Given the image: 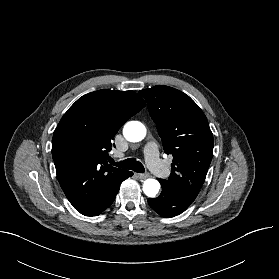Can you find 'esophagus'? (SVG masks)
Wrapping results in <instances>:
<instances>
[{
  "label": "esophagus",
  "instance_id": "34e87169",
  "mask_svg": "<svg viewBox=\"0 0 279 279\" xmlns=\"http://www.w3.org/2000/svg\"><path fill=\"white\" fill-rule=\"evenodd\" d=\"M137 176H138L140 179H145V178L150 177V174H149V173H138Z\"/></svg>",
  "mask_w": 279,
  "mask_h": 279
}]
</instances>
